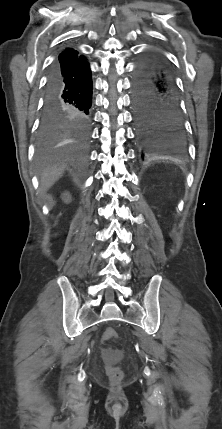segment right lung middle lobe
<instances>
[{
  "label": "right lung middle lobe",
  "mask_w": 222,
  "mask_h": 429,
  "mask_svg": "<svg viewBox=\"0 0 222 429\" xmlns=\"http://www.w3.org/2000/svg\"><path fill=\"white\" fill-rule=\"evenodd\" d=\"M62 135L59 129L47 128L40 126L39 130V145L40 147L48 146L54 143Z\"/></svg>",
  "instance_id": "1"
}]
</instances>
